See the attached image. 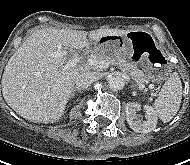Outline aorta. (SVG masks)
<instances>
[{
    "instance_id": "1",
    "label": "aorta",
    "mask_w": 190,
    "mask_h": 165,
    "mask_svg": "<svg viewBox=\"0 0 190 165\" xmlns=\"http://www.w3.org/2000/svg\"><path fill=\"white\" fill-rule=\"evenodd\" d=\"M109 86L113 90H121L125 86V79L122 76H113L109 79Z\"/></svg>"
}]
</instances>
